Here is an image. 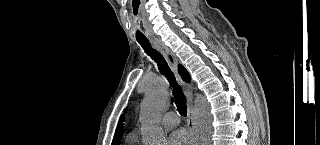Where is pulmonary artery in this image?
<instances>
[{
  "instance_id": "e3ab8cb5",
  "label": "pulmonary artery",
  "mask_w": 320,
  "mask_h": 145,
  "mask_svg": "<svg viewBox=\"0 0 320 145\" xmlns=\"http://www.w3.org/2000/svg\"><path fill=\"white\" fill-rule=\"evenodd\" d=\"M179 121V117L174 112H167L161 118V122L163 123V125L170 128L177 126L179 124Z\"/></svg>"
}]
</instances>
